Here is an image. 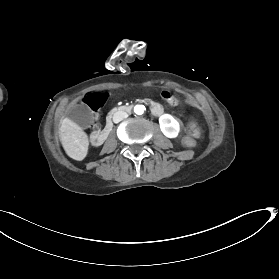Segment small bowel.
<instances>
[{"mask_svg":"<svg viewBox=\"0 0 279 279\" xmlns=\"http://www.w3.org/2000/svg\"><path fill=\"white\" fill-rule=\"evenodd\" d=\"M161 95H162V98H163L167 103H169L170 105H173V106H174V105H176V104L178 103L177 97L174 96V95H172L168 90H163L162 93H161ZM157 105H158L159 111H158L156 114H158V113L160 112V110H161L160 104L157 103Z\"/></svg>","mask_w":279,"mask_h":279,"instance_id":"obj_1","label":"small bowel"}]
</instances>
